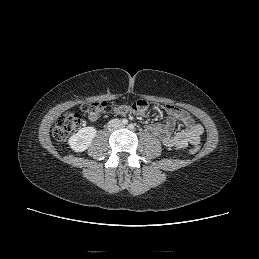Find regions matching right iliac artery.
Instances as JSON below:
<instances>
[{
    "label": "right iliac artery",
    "mask_w": 259,
    "mask_h": 259,
    "mask_svg": "<svg viewBox=\"0 0 259 259\" xmlns=\"http://www.w3.org/2000/svg\"><path fill=\"white\" fill-rule=\"evenodd\" d=\"M127 123H128V120H127V119H125V118L122 119V124H123V125H127Z\"/></svg>",
    "instance_id": "1"
}]
</instances>
